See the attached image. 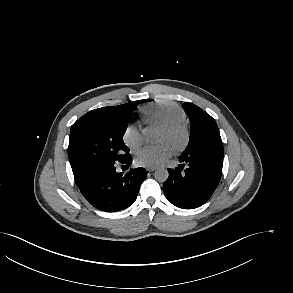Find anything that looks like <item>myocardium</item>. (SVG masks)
I'll use <instances>...</instances> for the list:
<instances>
[{"instance_id": "f54148a6", "label": "myocardium", "mask_w": 293, "mask_h": 293, "mask_svg": "<svg viewBox=\"0 0 293 293\" xmlns=\"http://www.w3.org/2000/svg\"><path fill=\"white\" fill-rule=\"evenodd\" d=\"M161 130L171 137L180 136L179 141L173 145L176 152H182L187 148L190 142V129L184 121L162 126Z\"/></svg>"}]
</instances>
